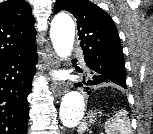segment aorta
I'll list each match as a JSON object with an SVG mask.
<instances>
[{
  "label": "aorta",
  "mask_w": 153,
  "mask_h": 134,
  "mask_svg": "<svg viewBox=\"0 0 153 134\" xmlns=\"http://www.w3.org/2000/svg\"><path fill=\"white\" fill-rule=\"evenodd\" d=\"M50 37L56 54L67 59L75 38V25L68 15L56 16L51 23ZM85 110V101L81 93L71 91L66 93L61 100L59 117L66 128L75 127L82 119Z\"/></svg>",
  "instance_id": "aorta-1"
}]
</instances>
